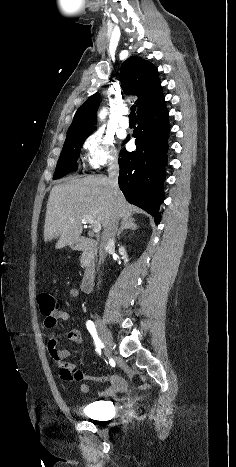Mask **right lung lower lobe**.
Segmentation results:
<instances>
[{"instance_id": "right-lung-lower-lobe-1", "label": "right lung lower lobe", "mask_w": 236, "mask_h": 467, "mask_svg": "<svg viewBox=\"0 0 236 467\" xmlns=\"http://www.w3.org/2000/svg\"><path fill=\"white\" fill-rule=\"evenodd\" d=\"M137 123L133 132L136 150L128 152L123 148L120 152L119 187L129 203L147 211L159 224L169 136L164 97L137 114Z\"/></svg>"}]
</instances>
